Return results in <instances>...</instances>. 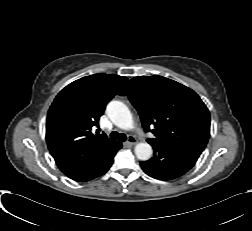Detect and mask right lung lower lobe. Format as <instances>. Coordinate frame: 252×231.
<instances>
[{
	"mask_svg": "<svg viewBox=\"0 0 252 231\" xmlns=\"http://www.w3.org/2000/svg\"><path fill=\"white\" fill-rule=\"evenodd\" d=\"M114 158V157H113ZM113 158L105 165L104 169L102 170V172L98 175L101 176L103 175L105 172L108 171V169L111 167L112 163H113Z\"/></svg>",
	"mask_w": 252,
	"mask_h": 231,
	"instance_id": "1",
	"label": "right lung lower lobe"
}]
</instances>
